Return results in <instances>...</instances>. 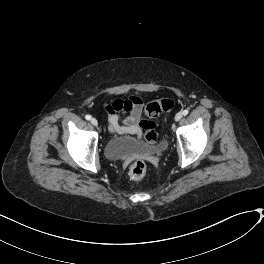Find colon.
<instances>
[{
    "mask_svg": "<svg viewBox=\"0 0 264 264\" xmlns=\"http://www.w3.org/2000/svg\"><path fill=\"white\" fill-rule=\"evenodd\" d=\"M172 106L173 101L170 99H158L147 104L143 123V137L146 141L154 142L158 139L154 120L170 110ZM146 170V164L143 161H136L131 165L129 175L133 180H140L146 174Z\"/></svg>",
    "mask_w": 264,
    "mask_h": 264,
    "instance_id": "colon-1",
    "label": "colon"
}]
</instances>
